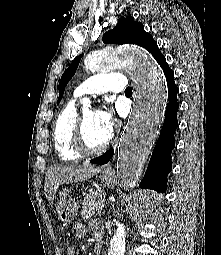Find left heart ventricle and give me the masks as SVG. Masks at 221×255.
<instances>
[{
  "instance_id": "obj_1",
  "label": "left heart ventricle",
  "mask_w": 221,
  "mask_h": 255,
  "mask_svg": "<svg viewBox=\"0 0 221 255\" xmlns=\"http://www.w3.org/2000/svg\"><path fill=\"white\" fill-rule=\"evenodd\" d=\"M97 114L89 110L84 115V134L90 148L100 147L110 135V130L103 126Z\"/></svg>"
}]
</instances>
